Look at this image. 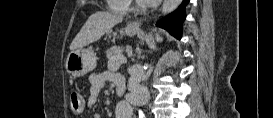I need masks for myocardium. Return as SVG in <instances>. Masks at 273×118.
I'll list each match as a JSON object with an SVG mask.
<instances>
[{
    "instance_id": "f54148a6",
    "label": "myocardium",
    "mask_w": 273,
    "mask_h": 118,
    "mask_svg": "<svg viewBox=\"0 0 273 118\" xmlns=\"http://www.w3.org/2000/svg\"><path fill=\"white\" fill-rule=\"evenodd\" d=\"M134 9H136L137 11H142L145 10V5L139 3V2H135L134 4Z\"/></svg>"
}]
</instances>
